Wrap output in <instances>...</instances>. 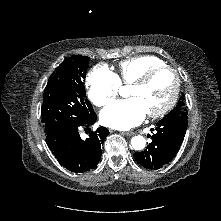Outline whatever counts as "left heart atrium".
I'll return each mask as SVG.
<instances>
[{"instance_id": "39dd6f15", "label": "left heart atrium", "mask_w": 221, "mask_h": 221, "mask_svg": "<svg viewBox=\"0 0 221 221\" xmlns=\"http://www.w3.org/2000/svg\"><path fill=\"white\" fill-rule=\"evenodd\" d=\"M147 111L142 102L132 97L109 104L100 115L101 122L110 128L127 130L140 124Z\"/></svg>"}]
</instances>
